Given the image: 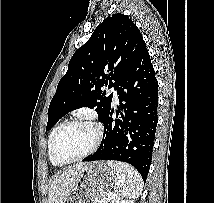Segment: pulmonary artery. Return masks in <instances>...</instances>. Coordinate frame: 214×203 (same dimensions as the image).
Returning <instances> with one entry per match:
<instances>
[{"label":"pulmonary artery","instance_id":"e3ab8cb5","mask_svg":"<svg viewBox=\"0 0 214 203\" xmlns=\"http://www.w3.org/2000/svg\"><path fill=\"white\" fill-rule=\"evenodd\" d=\"M110 92L112 93L113 96V102L114 103L118 102V93L115 87H111Z\"/></svg>","mask_w":214,"mask_h":203}]
</instances>
